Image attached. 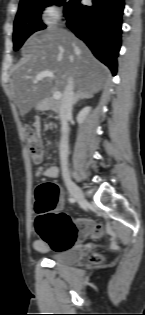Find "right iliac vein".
<instances>
[{
  "instance_id": "1",
  "label": "right iliac vein",
  "mask_w": 145,
  "mask_h": 315,
  "mask_svg": "<svg viewBox=\"0 0 145 315\" xmlns=\"http://www.w3.org/2000/svg\"><path fill=\"white\" fill-rule=\"evenodd\" d=\"M66 187L70 194L79 202H85L86 198L82 190L71 180L66 181Z\"/></svg>"
}]
</instances>
